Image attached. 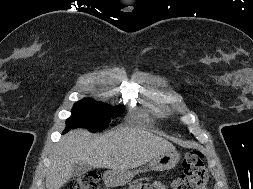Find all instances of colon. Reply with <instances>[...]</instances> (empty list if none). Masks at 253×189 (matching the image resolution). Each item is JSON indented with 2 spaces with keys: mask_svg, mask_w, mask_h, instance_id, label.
<instances>
[{
  "mask_svg": "<svg viewBox=\"0 0 253 189\" xmlns=\"http://www.w3.org/2000/svg\"><path fill=\"white\" fill-rule=\"evenodd\" d=\"M203 153L193 150L185 154L182 169L183 173L174 180L173 189H202L208 180V173L204 166ZM100 172L90 171L74 177L68 189H100Z\"/></svg>",
  "mask_w": 253,
  "mask_h": 189,
  "instance_id": "1",
  "label": "colon"
}]
</instances>
